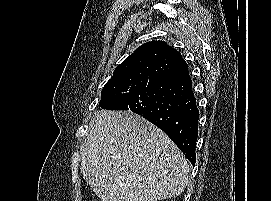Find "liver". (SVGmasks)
Listing matches in <instances>:
<instances>
[{"instance_id":"obj_1","label":"liver","mask_w":271,"mask_h":201,"mask_svg":"<svg viewBox=\"0 0 271 201\" xmlns=\"http://www.w3.org/2000/svg\"><path fill=\"white\" fill-rule=\"evenodd\" d=\"M80 170L101 201H158L184 191L189 165L143 117L102 110L89 125Z\"/></svg>"}]
</instances>
